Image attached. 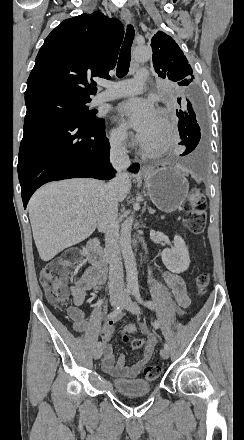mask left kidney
I'll return each mask as SVG.
<instances>
[{"label": "left kidney", "mask_w": 244, "mask_h": 440, "mask_svg": "<svg viewBox=\"0 0 244 440\" xmlns=\"http://www.w3.org/2000/svg\"><path fill=\"white\" fill-rule=\"evenodd\" d=\"M174 246L166 248L161 254L162 262L167 270L173 274H181L188 270L190 264V256L188 246H186L181 236H174Z\"/></svg>", "instance_id": "1"}]
</instances>
